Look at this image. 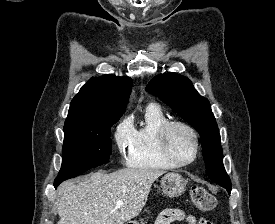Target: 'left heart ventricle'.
<instances>
[{
    "mask_svg": "<svg viewBox=\"0 0 275 224\" xmlns=\"http://www.w3.org/2000/svg\"><path fill=\"white\" fill-rule=\"evenodd\" d=\"M168 145L171 153L179 160L186 161L194 154V141L183 128H173L169 134Z\"/></svg>",
    "mask_w": 275,
    "mask_h": 224,
    "instance_id": "obj_1",
    "label": "left heart ventricle"
}]
</instances>
